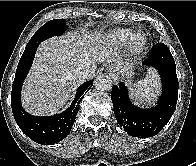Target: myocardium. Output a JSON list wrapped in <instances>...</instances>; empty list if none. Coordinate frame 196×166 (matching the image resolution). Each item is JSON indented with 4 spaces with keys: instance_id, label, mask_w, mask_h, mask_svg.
I'll list each match as a JSON object with an SVG mask.
<instances>
[{
    "instance_id": "1",
    "label": "myocardium",
    "mask_w": 196,
    "mask_h": 166,
    "mask_svg": "<svg viewBox=\"0 0 196 166\" xmlns=\"http://www.w3.org/2000/svg\"><path fill=\"white\" fill-rule=\"evenodd\" d=\"M140 37L141 41L136 42V38ZM129 45L131 50L136 54H141L146 51L148 46V38L145 33L139 31L132 33L129 38Z\"/></svg>"
}]
</instances>
